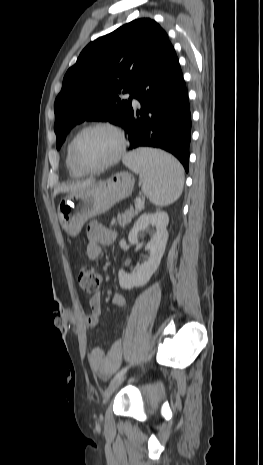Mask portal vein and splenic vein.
<instances>
[{"label":"portal vein and splenic vein","instance_id":"1","mask_svg":"<svg viewBox=\"0 0 263 465\" xmlns=\"http://www.w3.org/2000/svg\"><path fill=\"white\" fill-rule=\"evenodd\" d=\"M144 206V202L140 199H137L135 202V208H142Z\"/></svg>","mask_w":263,"mask_h":465}]
</instances>
